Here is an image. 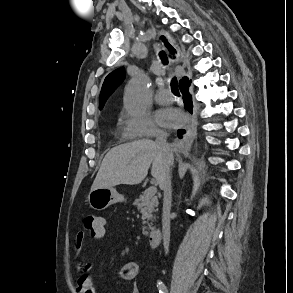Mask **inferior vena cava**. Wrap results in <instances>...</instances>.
I'll list each match as a JSON object with an SVG mask.
<instances>
[{"instance_id":"inferior-vena-cava-1","label":"inferior vena cava","mask_w":293,"mask_h":293,"mask_svg":"<svg viewBox=\"0 0 293 293\" xmlns=\"http://www.w3.org/2000/svg\"><path fill=\"white\" fill-rule=\"evenodd\" d=\"M156 144L167 158L166 171L162 181L159 184L160 188L164 192L162 232H163V245H164L165 253L167 254L168 248H169V241H170V210H171V201H172L170 170L172 166L173 155L167 143V135L165 133H159L156 135Z\"/></svg>"}]
</instances>
